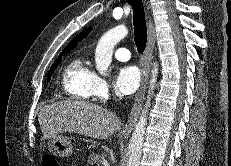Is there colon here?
Instances as JSON below:
<instances>
[{"instance_id": "5ec220e1", "label": "colon", "mask_w": 231, "mask_h": 166, "mask_svg": "<svg viewBox=\"0 0 231 166\" xmlns=\"http://www.w3.org/2000/svg\"><path fill=\"white\" fill-rule=\"evenodd\" d=\"M43 166H61L59 161L53 155H45L43 158Z\"/></svg>"}]
</instances>
